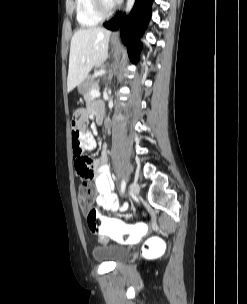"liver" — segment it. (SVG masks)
<instances>
[{"mask_svg": "<svg viewBox=\"0 0 247 304\" xmlns=\"http://www.w3.org/2000/svg\"><path fill=\"white\" fill-rule=\"evenodd\" d=\"M111 32L100 27L78 29L71 39L67 90L83 83L108 58Z\"/></svg>", "mask_w": 247, "mask_h": 304, "instance_id": "obj_1", "label": "liver"}]
</instances>
